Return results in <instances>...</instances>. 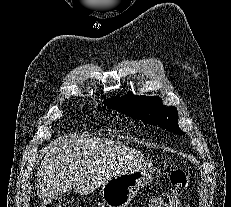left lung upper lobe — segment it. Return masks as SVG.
<instances>
[{"instance_id":"obj_1","label":"left lung upper lobe","mask_w":231,"mask_h":207,"mask_svg":"<svg viewBox=\"0 0 231 207\" xmlns=\"http://www.w3.org/2000/svg\"><path fill=\"white\" fill-rule=\"evenodd\" d=\"M104 104L144 123L160 126L175 134H184L178 126L177 109L164 106L158 96H135L128 92L124 97L106 99Z\"/></svg>"}]
</instances>
